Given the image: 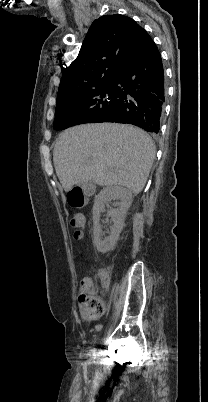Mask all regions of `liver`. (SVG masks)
<instances>
[{"instance_id": "obj_1", "label": "liver", "mask_w": 208, "mask_h": 402, "mask_svg": "<svg viewBox=\"0 0 208 402\" xmlns=\"http://www.w3.org/2000/svg\"><path fill=\"white\" fill-rule=\"evenodd\" d=\"M155 158L150 136L130 124H84L60 134L53 152L65 192L94 182L142 192Z\"/></svg>"}]
</instances>
